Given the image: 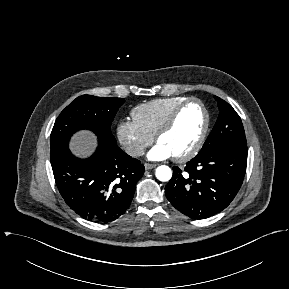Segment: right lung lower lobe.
Here are the masks:
<instances>
[{"mask_svg":"<svg viewBox=\"0 0 289 289\" xmlns=\"http://www.w3.org/2000/svg\"><path fill=\"white\" fill-rule=\"evenodd\" d=\"M51 165L66 204L82 218L103 223L128 209L144 173L139 160L101 139L90 158H77L66 148Z\"/></svg>","mask_w":289,"mask_h":289,"instance_id":"1","label":"right lung lower lobe"}]
</instances>
